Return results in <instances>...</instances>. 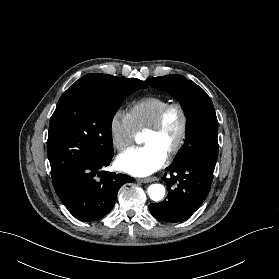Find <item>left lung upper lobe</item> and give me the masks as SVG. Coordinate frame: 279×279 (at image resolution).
Masks as SVG:
<instances>
[{
	"instance_id": "obj_1",
	"label": "left lung upper lobe",
	"mask_w": 279,
	"mask_h": 279,
	"mask_svg": "<svg viewBox=\"0 0 279 279\" xmlns=\"http://www.w3.org/2000/svg\"><path fill=\"white\" fill-rule=\"evenodd\" d=\"M146 82L179 100L186 121V141L171 165L194 164L214 171L218 157V121L206 92L181 75L147 79Z\"/></svg>"
}]
</instances>
